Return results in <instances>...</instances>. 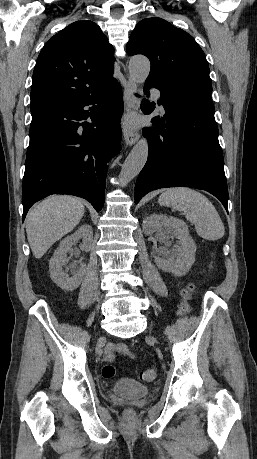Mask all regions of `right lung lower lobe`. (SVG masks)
<instances>
[{"instance_id":"right-lung-lower-lobe-1","label":"right lung lower lobe","mask_w":257,"mask_h":459,"mask_svg":"<svg viewBox=\"0 0 257 459\" xmlns=\"http://www.w3.org/2000/svg\"><path fill=\"white\" fill-rule=\"evenodd\" d=\"M122 112L117 81L96 95L32 112L22 221L35 202L51 194L82 197L97 212L103 208L106 163L120 151Z\"/></svg>"}]
</instances>
